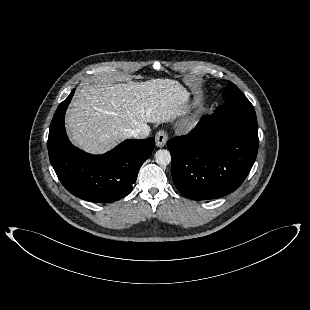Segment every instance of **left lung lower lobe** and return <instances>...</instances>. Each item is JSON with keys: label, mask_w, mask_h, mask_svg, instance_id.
<instances>
[{"label": "left lung lower lobe", "mask_w": 310, "mask_h": 310, "mask_svg": "<svg viewBox=\"0 0 310 310\" xmlns=\"http://www.w3.org/2000/svg\"><path fill=\"white\" fill-rule=\"evenodd\" d=\"M258 144L257 118L250 101H225L188 135L168 140L174 185L193 200L228 195L250 172Z\"/></svg>", "instance_id": "1"}]
</instances>
